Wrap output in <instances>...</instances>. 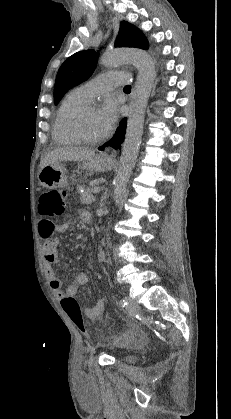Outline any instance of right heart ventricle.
Listing matches in <instances>:
<instances>
[{
	"instance_id": "e07e8e85",
	"label": "right heart ventricle",
	"mask_w": 231,
	"mask_h": 419,
	"mask_svg": "<svg viewBox=\"0 0 231 419\" xmlns=\"http://www.w3.org/2000/svg\"><path fill=\"white\" fill-rule=\"evenodd\" d=\"M90 99L85 97L79 90L69 92L58 107L53 127L52 136L56 143L74 145L81 141L71 132L69 128L70 118L82 107L89 103Z\"/></svg>"
}]
</instances>
